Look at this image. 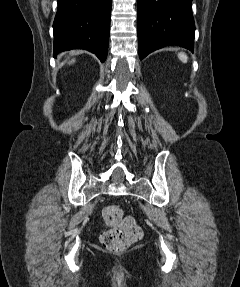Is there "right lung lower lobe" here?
<instances>
[{
    "mask_svg": "<svg viewBox=\"0 0 240 287\" xmlns=\"http://www.w3.org/2000/svg\"><path fill=\"white\" fill-rule=\"evenodd\" d=\"M112 0H58L53 23L54 56L75 48L94 53L102 62L108 52Z\"/></svg>",
    "mask_w": 240,
    "mask_h": 287,
    "instance_id": "1",
    "label": "right lung lower lobe"
}]
</instances>
